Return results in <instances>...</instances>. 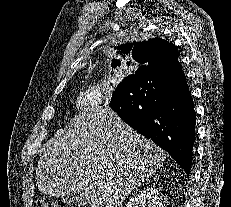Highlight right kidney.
<instances>
[{"label":"right kidney","instance_id":"1","mask_svg":"<svg viewBox=\"0 0 231 207\" xmlns=\"http://www.w3.org/2000/svg\"><path fill=\"white\" fill-rule=\"evenodd\" d=\"M163 203L161 193L154 187H147L134 195L125 207H163Z\"/></svg>","mask_w":231,"mask_h":207}]
</instances>
